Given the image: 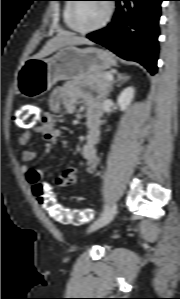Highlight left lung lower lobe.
<instances>
[{"label": "left lung lower lobe", "instance_id": "left-lung-lower-lobe-1", "mask_svg": "<svg viewBox=\"0 0 180 299\" xmlns=\"http://www.w3.org/2000/svg\"><path fill=\"white\" fill-rule=\"evenodd\" d=\"M117 1L111 23L87 37L118 56L143 65L152 75L157 71L158 35L163 0ZM120 1L125 4L120 5Z\"/></svg>", "mask_w": 180, "mask_h": 299}]
</instances>
